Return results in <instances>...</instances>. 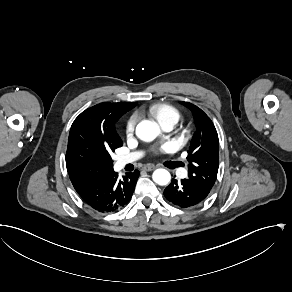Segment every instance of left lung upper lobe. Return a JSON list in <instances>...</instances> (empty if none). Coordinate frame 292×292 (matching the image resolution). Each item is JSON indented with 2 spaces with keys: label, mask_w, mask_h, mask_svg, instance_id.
<instances>
[{
  "label": "left lung upper lobe",
  "mask_w": 292,
  "mask_h": 292,
  "mask_svg": "<svg viewBox=\"0 0 292 292\" xmlns=\"http://www.w3.org/2000/svg\"><path fill=\"white\" fill-rule=\"evenodd\" d=\"M192 111L196 131L190 143L187 160V180L212 189L219 167V141L216 128L211 119L192 103L182 102Z\"/></svg>",
  "instance_id": "5c2ea615"
}]
</instances>
